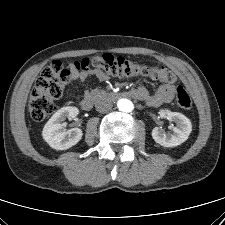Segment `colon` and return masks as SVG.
<instances>
[{
  "instance_id": "colon-1",
  "label": "colon",
  "mask_w": 225,
  "mask_h": 225,
  "mask_svg": "<svg viewBox=\"0 0 225 225\" xmlns=\"http://www.w3.org/2000/svg\"><path fill=\"white\" fill-rule=\"evenodd\" d=\"M73 65L76 68L93 66L114 76H144L165 83L176 81L175 74L168 68L135 63L110 53L86 57L81 61L74 62ZM70 80V71L59 61L52 62L42 71L29 100V111L35 121H42L54 112L55 101L61 97L63 88ZM175 96L177 104L182 109L191 108V98L182 86L176 87Z\"/></svg>"
}]
</instances>
